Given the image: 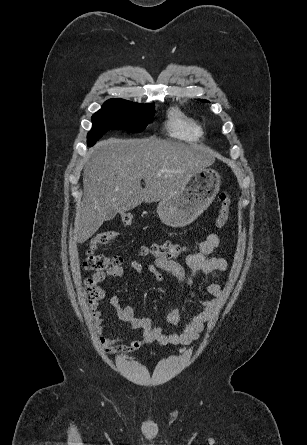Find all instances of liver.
Segmentation results:
<instances>
[{"label":"liver","instance_id":"liver-1","mask_svg":"<svg viewBox=\"0 0 307 445\" xmlns=\"http://www.w3.org/2000/svg\"><path fill=\"white\" fill-rule=\"evenodd\" d=\"M214 160V154L198 144L189 146L155 136L99 140L84 170V196L75 220L74 241H88L110 212H125L143 200L156 202L180 194L191 174Z\"/></svg>","mask_w":307,"mask_h":445}]
</instances>
